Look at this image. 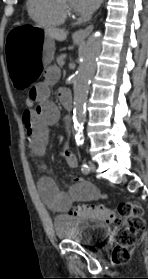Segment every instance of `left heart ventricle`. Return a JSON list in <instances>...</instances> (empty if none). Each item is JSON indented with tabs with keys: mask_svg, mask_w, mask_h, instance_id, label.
<instances>
[{
	"mask_svg": "<svg viewBox=\"0 0 148 279\" xmlns=\"http://www.w3.org/2000/svg\"><path fill=\"white\" fill-rule=\"evenodd\" d=\"M63 3L68 5V6H72L73 0H63Z\"/></svg>",
	"mask_w": 148,
	"mask_h": 279,
	"instance_id": "b2bd125f",
	"label": "left heart ventricle"
}]
</instances>
